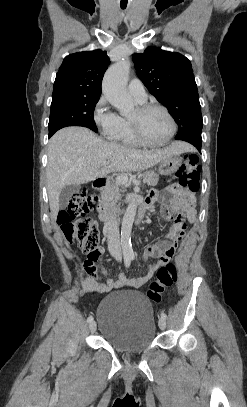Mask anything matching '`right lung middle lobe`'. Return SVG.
<instances>
[{
  "label": "right lung middle lobe",
  "instance_id": "1",
  "mask_svg": "<svg viewBox=\"0 0 247 407\" xmlns=\"http://www.w3.org/2000/svg\"><path fill=\"white\" fill-rule=\"evenodd\" d=\"M99 97L62 95L52 97L49 134L66 126H84L98 132L94 122V109Z\"/></svg>",
  "mask_w": 247,
  "mask_h": 407
}]
</instances>
